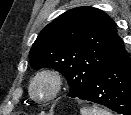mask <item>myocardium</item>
<instances>
[{"label": "myocardium", "instance_id": "f54148a6", "mask_svg": "<svg viewBox=\"0 0 131 115\" xmlns=\"http://www.w3.org/2000/svg\"><path fill=\"white\" fill-rule=\"evenodd\" d=\"M42 78H47L50 80L52 89L49 95L45 98L38 97L35 93L34 86L36 82ZM63 87V77L62 74L53 68H44L40 71H38L31 79L29 84V92L30 95L38 100L41 103H48L52 101L54 98L57 97V95L60 93L61 89Z\"/></svg>", "mask_w": 131, "mask_h": 115}]
</instances>
